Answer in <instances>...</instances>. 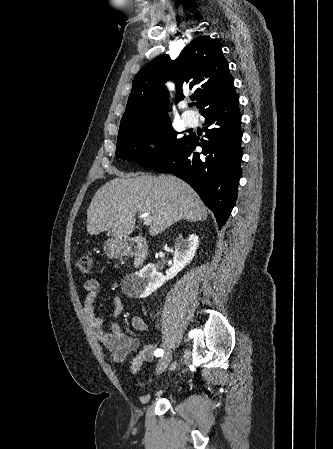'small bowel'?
<instances>
[{
  "instance_id": "small-bowel-1",
  "label": "small bowel",
  "mask_w": 333,
  "mask_h": 449,
  "mask_svg": "<svg viewBox=\"0 0 333 449\" xmlns=\"http://www.w3.org/2000/svg\"><path fill=\"white\" fill-rule=\"evenodd\" d=\"M100 285L94 279L87 280L84 283L86 297L83 310L90 327L93 329L97 340L109 351L113 363L123 364L127 356L139 347V339L135 336L125 334L115 319L123 310V303L118 296H113L112 318L109 327H104L103 319L95 312V301L99 294ZM133 327L139 331L147 330V324L140 316H134L132 319ZM155 352V345L145 344L132 359L130 369L136 373L145 361L150 360Z\"/></svg>"
}]
</instances>
